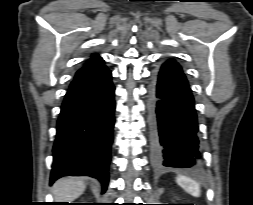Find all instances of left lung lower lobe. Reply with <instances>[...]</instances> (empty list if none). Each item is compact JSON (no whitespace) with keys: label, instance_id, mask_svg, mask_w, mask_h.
Instances as JSON below:
<instances>
[{"label":"left lung lower lobe","instance_id":"1","mask_svg":"<svg viewBox=\"0 0 253 205\" xmlns=\"http://www.w3.org/2000/svg\"><path fill=\"white\" fill-rule=\"evenodd\" d=\"M149 113L154 163L196 168L199 146L194 99L181 66L172 59L161 66L151 85Z\"/></svg>","mask_w":253,"mask_h":205}]
</instances>
